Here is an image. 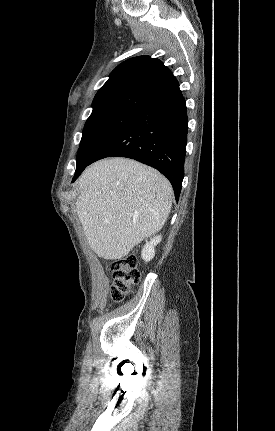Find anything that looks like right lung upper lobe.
Returning <instances> with one entry per match:
<instances>
[{"label":"right lung upper lobe","mask_w":275,"mask_h":431,"mask_svg":"<svg viewBox=\"0 0 275 431\" xmlns=\"http://www.w3.org/2000/svg\"><path fill=\"white\" fill-rule=\"evenodd\" d=\"M179 83L156 58L138 56L118 65L92 102V114L115 110H138L178 87Z\"/></svg>","instance_id":"right-lung-upper-lobe-1"}]
</instances>
